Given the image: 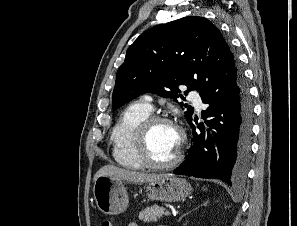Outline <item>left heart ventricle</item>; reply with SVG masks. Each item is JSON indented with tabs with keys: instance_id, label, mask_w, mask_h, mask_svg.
Returning <instances> with one entry per match:
<instances>
[{
	"instance_id": "1",
	"label": "left heart ventricle",
	"mask_w": 297,
	"mask_h": 226,
	"mask_svg": "<svg viewBox=\"0 0 297 226\" xmlns=\"http://www.w3.org/2000/svg\"><path fill=\"white\" fill-rule=\"evenodd\" d=\"M178 142L179 133L172 125H154L148 136V150L152 159L157 162L170 160L178 148Z\"/></svg>"
}]
</instances>
